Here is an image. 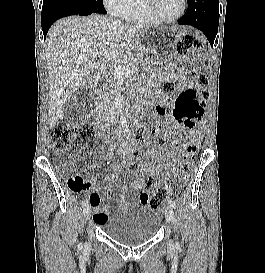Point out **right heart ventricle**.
<instances>
[{
	"label": "right heart ventricle",
	"instance_id": "1",
	"mask_svg": "<svg viewBox=\"0 0 265 273\" xmlns=\"http://www.w3.org/2000/svg\"><path fill=\"white\" fill-rule=\"evenodd\" d=\"M120 16L141 24H156L147 13L144 0H131L130 5Z\"/></svg>",
	"mask_w": 265,
	"mask_h": 273
}]
</instances>
